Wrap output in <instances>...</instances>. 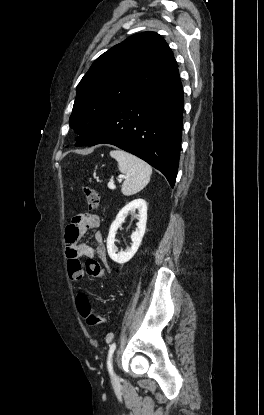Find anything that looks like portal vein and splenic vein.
<instances>
[{
	"label": "portal vein and splenic vein",
	"instance_id": "18ae733b",
	"mask_svg": "<svg viewBox=\"0 0 264 415\" xmlns=\"http://www.w3.org/2000/svg\"><path fill=\"white\" fill-rule=\"evenodd\" d=\"M121 180V179H120ZM108 188L109 189H115L116 188V186L114 185V183L113 182H109L108 183Z\"/></svg>",
	"mask_w": 264,
	"mask_h": 415
}]
</instances>
